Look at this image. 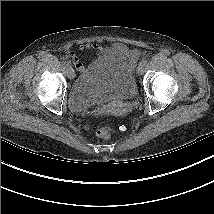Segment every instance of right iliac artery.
<instances>
[{
	"mask_svg": "<svg viewBox=\"0 0 214 214\" xmlns=\"http://www.w3.org/2000/svg\"><path fill=\"white\" fill-rule=\"evenodd\" d=\"M64 65L68 66V65H69V62L64 61Z\"/></svg>",
	"mask_w": 214,
	"mask_h": 214,
	"instance_id": "82829eb1",
	"label": "right iliac artery"
}]
</instances>
